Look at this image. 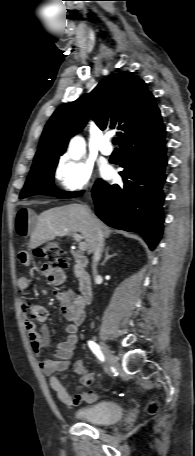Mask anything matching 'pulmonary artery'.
Segmentation results:
<instances>
[{
	"label": "pulmonary artery",
	"mask_w": 195,
	"mask_h": 456,
	"mask_svg": "<svg viewBox=\"0 0 195 456\" xmlns=\"http://www.w3.org/2000/svg\"><path fill=\"white\" fill-rule=\"evenodd\" d=\"M99 149H100V152L103 155H105V156H110L112 154L113 149H112V146L110 144V136L109 135L104 136Z\"/></svg>",
	"instance_id": "e3ab8cb5"
}]
</instances>
